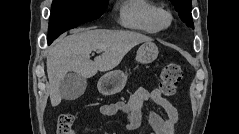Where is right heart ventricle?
I'll return each instance as SVG.
<instances>
[{
	"label": "right heart ventricle",
	"mask_w": 239,
	"mask_h": 134,
	"mask_svg": "<svg viewBox=\"0 0 239 134\" xmlns=\"http://www.w3.org/2000/svg\"><path fill=\"white\" fill-rule=\"evenodd\" d=\"M158 6L148 0H126L120 5L119 22L128 29L154 34L159 31L154 22Z\"/></svg>",
	"instance_id": "1"
}]
</instances>
